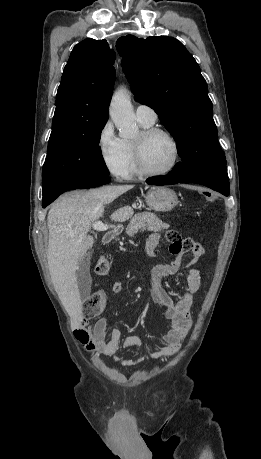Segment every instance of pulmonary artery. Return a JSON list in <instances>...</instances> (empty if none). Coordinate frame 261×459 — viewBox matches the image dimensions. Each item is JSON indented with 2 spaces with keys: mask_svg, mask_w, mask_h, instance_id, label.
Segmentation results:
<instances>
[{
  "mask_svg": "<svg viewBox=\"0 0 261 459\" xmlns=\"http://www.w3.org/2000/svg\"><path fill=\"white\" fill-rule=\"evenodd\" d=\"M136 118L140 122L154 124L157 120V114L151 107L140 104L136 107Z\"/></svg>",
  "mask_w": 261,
  "mask_h": 459,
  "instance_id": "obj_1",
  "label": "pulmonary artery"
}]
</instances>
